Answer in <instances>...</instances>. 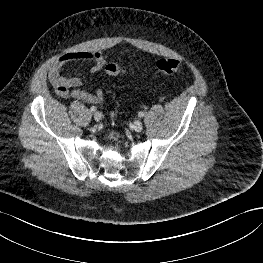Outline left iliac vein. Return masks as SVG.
<instances>
[{
    "mask_svg": "<svg viewBox=\"0 0 263 263\" xmlns=\"http://www.w3.org/2000/svg\"><path fill=\"white\" fill-rule=\"evenodd\" d=\"M133 129L136 131V132H141L142 129H143V124L141 121L137 120L134 122L133 124Z\"/></svg>",
    "mask_w": 263,
    "mask_h": 263,
    "instance_id": "left-iliac-vein-1",
    "label": "left iliac vein"
}]
</instances>
